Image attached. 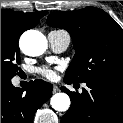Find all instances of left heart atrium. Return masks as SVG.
Wrapping results in <instances>:
<instances>
[{"label": "left heart atrium", "instance_id": "obj_1", "mask_svg": "<svg viewBox=\"0 0 123 123\" xmlns=\"http://www.w3.org/2000/svg\"><path fill=\"white\" fill-rule=\"evenodd\" d=\"M39 73L48 80H55L57 77V69L48 66L41 67Z\"/></svg>", "mask_w": 123, "mask_h": 123}]
</instances>
